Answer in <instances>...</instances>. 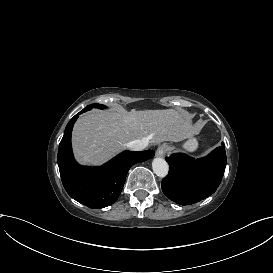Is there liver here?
Segmentation results:
<instances>
[{"label": "liver", "instance_id": "6515ba94", "mask_svg": "<svg viewBox=\"0 0 273 273\" xmlns=\"http://www.w3.org/2000/svg\"><path fill=\"white\" fill-rule=\"evenodd\" d=\"M199 131L192 125V115L182 109L100 111L86 114L76 122L72 143L81 164H101L130 141H191L196 140L193 136Z\"/></svg>", "mask_w": 273, "mask_h": 273}]
</instances>
